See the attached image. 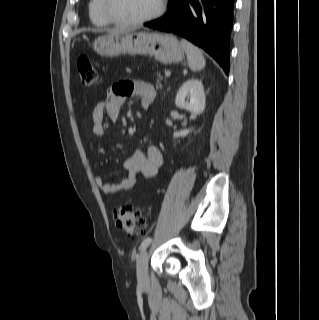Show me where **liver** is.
<instances>
[{"label":"liver","mask_w":319,"mask_h":320,"mask_svg":"<svg viewBox=\"0 0 319 320\" xmlns=\"http://www.w3.org/2000/svg\"><path fill=\"white\" fill-rule=\"evenodd\" d=\"M128 29H121V28H116L110 31V34H117V33H124L128 32Z\"/></svg>","instance_id":"liver-1"}]
</instances>
